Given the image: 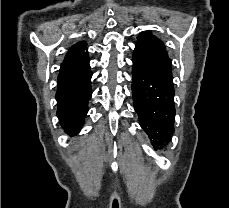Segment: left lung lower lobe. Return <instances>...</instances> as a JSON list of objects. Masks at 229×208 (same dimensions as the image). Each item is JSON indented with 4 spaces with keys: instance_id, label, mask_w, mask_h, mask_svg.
<instances>
[{
    "instance_id": "1",
    "label": "left lung lower lobe",
    "mask_w": 229,
    "mask_h": 208,
    "mask_svg": "<svg viewBox=\"0 0 229 208\" xmlns=\"http://www.w3.org/2000/svg\"><path fill=\"white\" fill-rule=\"evenodd\" d=\"M132 95L139 123L154 145L163 148L174 133V87L157 81L133 59Z\"/></svg>"
}]
</instances>
